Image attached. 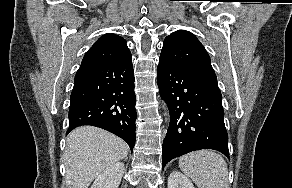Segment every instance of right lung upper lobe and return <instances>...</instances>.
Here are the masks:
<instances>
[{
  "label": "right lung upper lobe",
  "instance_id": "1",
  "mask_svg": "<svg viewBox=\"0 0 292 188\" xmlns=\"http://www.w3.org/2000/svg\"><path fill=\"white\" fill-rule=\"evenodd\" d=\"M126 41L115 34L102 35L85 54L82 63L119 62L131 58Z\"/></svg>",
  "mask_w": 292,
  "mask_h": 188
}]
</instances>
